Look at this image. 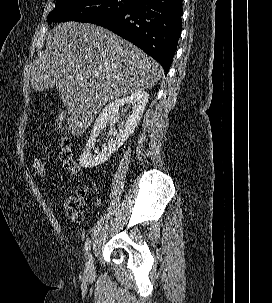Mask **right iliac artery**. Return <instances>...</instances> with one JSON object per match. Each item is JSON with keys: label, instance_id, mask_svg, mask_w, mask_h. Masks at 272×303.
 I'll return each mask as SVG.
<instances>
[{"label": "right iliac artery", "instance_id": "1", "mask_svg": "<svg viewBox=\"0 0 272 303\" xmlns=\"http://www.w3.org/2000/svg\"><path fill=\"white\" fill-rule=\"evenodd\" d=\"M90 244H91V241L90 239H87L86 242H85V246H84V252H85V256L88 255L89 253V250H90Z\"/></svg>", "mask_w": 272, "mask_h": 303}]
</instances>
